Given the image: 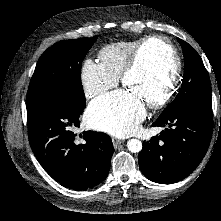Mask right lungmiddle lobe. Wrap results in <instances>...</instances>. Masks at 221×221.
I'll return each mask as SVG.
<instances>
[{
	"instance_id": "obj_1",
	"label": "right lung middle lobe",
	"mask_w": 221,
	"mask_h": 221,
	"mask_svg": "<svg viewBox=\"0 0 221 221\" xmlns=\"http://www.w3.org/2000/svg\"><path fill=\"white\" fill-rule=\"evenodd\" d=\"M92 38L64 40L47 49L37 62L26 97V108L35 106L56 94H67L85 106L81 83V65L96 41Z\"/></svg>"
}]
</instances>
